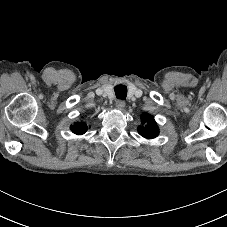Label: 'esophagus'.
Wrapping results in <instances>:
<instances>
[{
    "label": "esophagus",
    "instance_id": "1",
    "mask_svg": "<svg viewBox=\"0 0 227 227\" xmlns=\"http://www.w3.org/2000/svg\"><path fill=\"white\" fill-rule=\"evenodd\" d=\"M116 107L120 110H122L125 107V101L123 100H117L115 103Z\"/></svg>",
    "mask_w": 227,
    "mask_h": 227
}]
</instances>
